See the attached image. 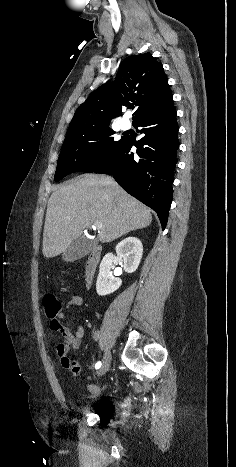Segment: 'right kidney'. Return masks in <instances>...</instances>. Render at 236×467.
I'll list each match as a JSON object with an SVG mask.
<instances>
[{
  "mask_svg": "<svg viewBox=\"0 0 236 467\" xmlns=\"http://www.w3.org/2000/svg\"><path fill=\"white\" fill-rule=\"evenodd\" d=\"M115 250L117 257H114L112 253L106 254L99 267L96 291L100 296L115 292L122 284V280L119 277L112 276L111 273L114 259L123 262L122 267L125 272L133 273L138 268L143 255V245L136 237H128L122 240ZM120 274V269L114 271L115 276Z\"/></svg>",
  "mask_w": 236,
  "mask_h": 467,
  "instance_id": "ca27d5eb",
  "label": "right kidney"
}]
</instances>
